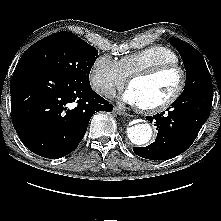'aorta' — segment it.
<instances>
[{
    "instance_id": "obj_1",
    "label": "aorta",
    "mask_w": 221,
    "mask_h": 221,
    "mask_svg": "<svg viewBox=\"0 0 221 221\" xmlns=\"http://www.w3.org/2000/svg\"><path fill=\"white\" fill-rule=\"evenodd\" d=\"M153 135L150 124L141 123L127 128V136L133 144L144 145L148 143Z\"/></svg>"
}]
</instances>
